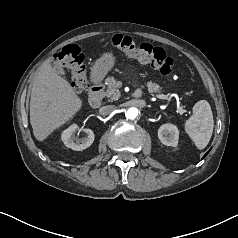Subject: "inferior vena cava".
<instances>
[{
	"instance_id": "1",
	"label": "inferior vena cava",
	"mask_w": 238,
	"mask_h": 238,
	"mask_svg": "<svg viewBox=\"0 0 238 238\" xmlns=\"http://www.w3.org/2000/svg\"><path fill=\"white\" fill-rule=\"evenodd\" d=\"M115 109H116V106H114V105H106V106L101 107L100 110H101L102 114L108 115V114L112 113Z\"/></svg>"
}]
</instances>
